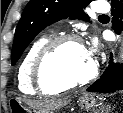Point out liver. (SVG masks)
I'll list each match as a JSON object with an SVG mask.
<instances>
[{"label":"liver","mask_w":123,"mask_h":113,"mask_svg":"<svg viewBox=\"0 0 123 113\" xmlns=\"http://www.w3.org/2000/svg\"><path fill=\"white\" fill-rule=\"evenodd\" d=\"M26 102L38 108L39 111H41L42 113H49L50 111H53L55 109L67 105L70 102V99L64 98L45 102H31V101Z\"/></svg>","instance_id":"obj_1"}]
</instances>
